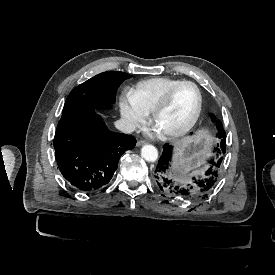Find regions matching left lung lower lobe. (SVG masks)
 <instances>
[{"label": "left lung lower lobe", "mask_w": 275, "mask_h": 275, "mask_svg": "<svg viewBox=\"0 0 275 275\" xmlns=\"http://www.w3.org/2000/svg\"><path fill=\"white\" fill-rule=\"evenodd\" d=\"M172 159V147L164 145V150L159 158L157 167L154 171L156 186L164 195L171 198H192L197 196H207V193L213 188L218 181V170L221 159L217 164L209 167L201 176L175 178L170 174Z\"/></svg>", "instance_id": "0a47b994"}]
</instances>
